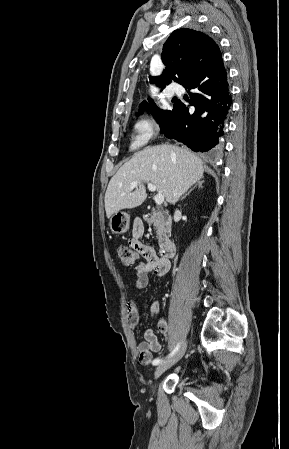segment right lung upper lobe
Wrapping results in <instances>:
<instances>
[{
  "label": "right lung upper lobe",
  "mask_w": 289,
  "mask_h": 449,
  "mask_svg": "<svg viewBox=\"0 0 289 449\" xmlns=\"http://www.w3.org/2000/svg\"><path fill=\"white\" fill-rule=\"evenodd\" d=\"M161 59L166 66L151 83L161 90L172 81L182 86L203 81L223 66L222 54L215 41L203 32L181 28L171 33L163 45Z\"/></svg>",
  "instance_id": "1"
}]
</instances>
